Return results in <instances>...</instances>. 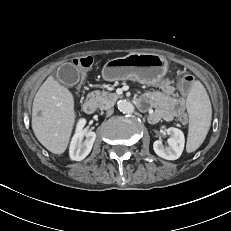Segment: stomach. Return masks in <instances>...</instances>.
I'll return each mask as SVG.
<instances>
[{
    "label": "stomach",
    "instance_id": "obj_1",
    "mask_svg": "<svg viewBox=\"0 0 231 231\" xmlns=\"http://www.w3.org/2000/svg\"><path fill=\"white\" fill-rule=\"evenodd\" d=\"M168 70V62L153 53H131L125 57L109 60L102 69L106 81L134 80L142 84L159 82Z\"/></svg>",
    "mask_w": 231,
    "mask_h": 231
}]
</instances>
